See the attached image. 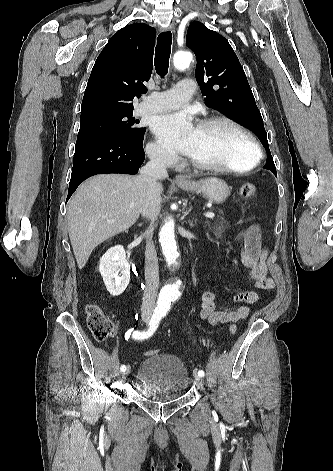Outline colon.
I'll return each instance as SVG.
<instances>
[{
	"instance_id": "1",
	"label": "colon",
	"mask_w": 333,
	"mask_h": 471,
	"mask_svg": "<svg viewBox=\"0 0 333 471\" xmlns=\"http://www.w3.org/2000/svg\"><path fill=\"white\" fill-rule=\"evenodd\" d=\"M257 194V188L252 183H245L241 186L240 195L244 199L254 198ZM87 323L93 337L98 341L106 340L116 333V325L106 316L101 308L96 304H89L86 308ZM237 332L235 324L230 325L229 333L234 335ZM159 353L158 350H150L146 355L151 356Z\"/></svg>"
}]
</instances>
